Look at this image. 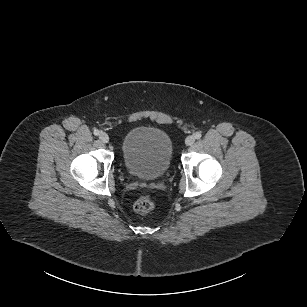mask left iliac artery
<instances>
[{"mask_svg":"<svg viewBox=\"0 0 307 307\" xmlns=\"http://www.w3.org/2000/svg\"><path fill=\"white\" fill-rule=\"evenodd\" d=\"M201 136H202V135H201V133H200V132H197V133L195 134V136H194V137H195L196 139H200V138H201Z\"/></svg>","mask_w":307,"mask_h":307,"instance_id":"1","label":"left iliac artery"}]
</instances>
